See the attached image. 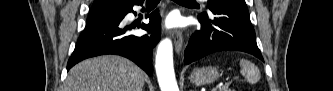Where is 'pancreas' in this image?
Returning <instances> with one entry per match:
<instances>
[{
    "label": "pancreas",
    "mask_w": 333,
    "mask_h": 91,
    "mask_svg": "<svg viewBox=\"0 0 333 91\" xmlns=\"http://www.w3.org/2000/svg\"><path fill=\"white\" fill-rule=\"evenodd\" d=\"M220 91H230V90L229 89H225V90L221 89Z\"/></svg>",
    "instance_id": "1"
}]
</instances>
